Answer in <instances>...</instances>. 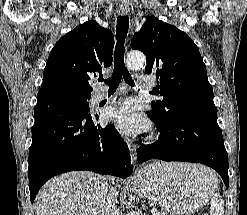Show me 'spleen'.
Instances as JSON below:
<instances>
[{"label": "spleen", "instance_id": "obj_1", "mask_svg": "<svg viewBox=\"0 0 247 215\" xmlns=\"http://www.w3.org/2000/svg\"><path fill=\"white\" fill-rule=\"evenodd\" d=\"M210 215H224V200L219 193L210 197Z\"/></svg>", "mask_w": 247, "mask_h": 215}]
</instances>
